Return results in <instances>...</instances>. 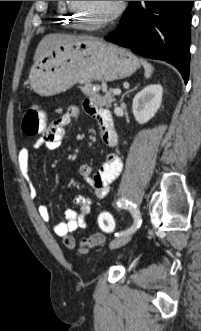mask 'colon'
<instances>
[{
    "label": "colon",
    "mask_w": 201,
    "mask_h": 331,
    "mask_svg": "<svg viewBox=\"0 0 201 331\" xmlns=\"http://www.w3.org/2000/svg\"><path fill=\"white\" fill-rule=\"evenodd\" d=\"M47 129V120L45 112L37 105H31L27 108L23 121L22 130L28 136H36L44 134ZM98 225L104 232H112L114 230V219L109 212L103 211L98 215ZM105 237L101 233L90 235L83 239L82 246L93 247L102 244Z\"/></svg>",
    "instance_id": "5ec220e1"
}]
</instances>
